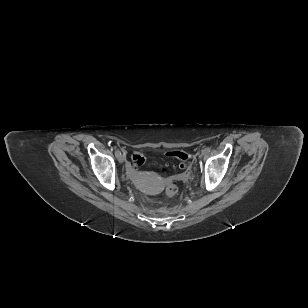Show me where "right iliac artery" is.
I'll list each match as a JSON object with an SVG mask.
<instances>
[{
	"instance_id": "1",
	"label": "right iliac artery",
	"mask_w": 308,
	"mask_h": 308,
	"mask_svg": "<svg viewBox=\"0 0 308 308\" xmlns=\"http://www.w3.org/2000/svg\"><path fill=\"white\" fill-rule=\"evenodd\" d=\"M119 153H120L119 150H116V151H115V155H116V156H117Z\"/></svg>"
}]
</instances>
